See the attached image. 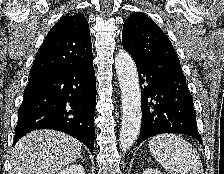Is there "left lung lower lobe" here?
<instances>
[{
    "instance_id": "1",
    "label": "left lung lower lobe",
    "mask_w": 224,
    "mask_h": 174,
    "mask_svg": "<svg viewBox=\"0 0 224 174\" xmlns=\"http://www.w3.org/2000/svg\"><path fill=\"white\" fill-rule=\"evenodd\" d=\"M141 91L142 124L137 144L162 133H182L203 145L196 128V111L183 73L136 63Z\"/></svg>"
}]
</instances>
